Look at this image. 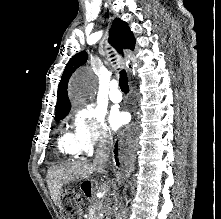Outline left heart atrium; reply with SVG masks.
<instances>
[{
	"instance_id": "1",
	"label": "left heart atrium",
	"mask_w": 221,
	"mask_h": 219,
	"mask_svg": "<svg viewBox=\"0 0 221 219\" xmlns=\"http://www.w3.org/2000/svg\"><path fill=\"white\" fill-rule=\"evenodd\" d=\"M125 121L124 113L118 110H114L109 116V125L113 130L120 127Z\"/></svg>"
}]
</instances>
